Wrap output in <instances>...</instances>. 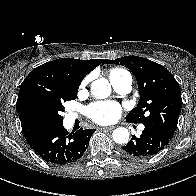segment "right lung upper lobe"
<instances>
[{"mask_svg":"<svg viewBox=\"0 0 196 196\" xmlns=\"http://www.w3.org/2000/svg\"><path fill=\"white\" fill-rule=\"evenodd\" d=\"M102 61L61 58L42 64L28 74L20 86L16 103L22 131L27 141L46 129L31 109L33 97L39 93L78 89L83 78Z\"/></svg>","mask_w":196,"mask_h":196,"instance_id":"cb5924a9","label":"right lung upper lobe"}]
</instances>
